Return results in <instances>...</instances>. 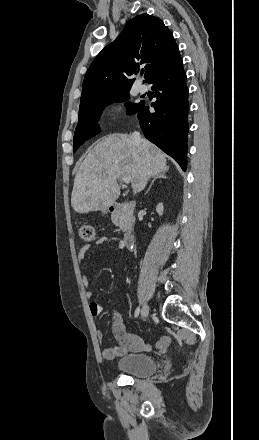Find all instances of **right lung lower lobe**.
<instances>
[{"label": "right lung lower lobe", "mask_w": 259, "mask_h": 440, "mask_svg": "<svg viewBox=\"0 0 259 440\" xmlns=\"http://www.w3.org/2000/svg\"><path fill=\"white\" fill-rule=\"evenodd\" d=\"M157 98L151 106L142 101L137 117L144 136L173 157L186 170L188 122V88L183 62L178 54L160 68L148 82Z\"/></svg>", "instance_id": "1"}]
</instances>
